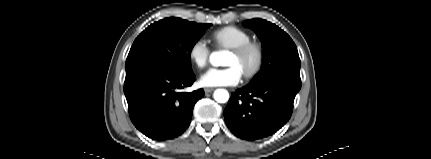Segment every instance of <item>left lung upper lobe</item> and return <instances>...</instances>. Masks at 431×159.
Here are the masks:
<instances>
[{
    "label": "left lung upper lobe",
    "mask_w": 431,
    "mask_h": 159,
    "mask_svg": "<svg viewBox=\"0 0 431 159\" xmlns=\"http://www.w3.org/2000/svg\"><path fill=\"white\" fill-rule=\"evenodd\" d=\"M244 24L256 32L263 45L262 69L248 85H260L279 76L300 80V58L290 36L266 20L251 19Z\"/></svg>",
    "instance_id": "1"
}]
</instances>
